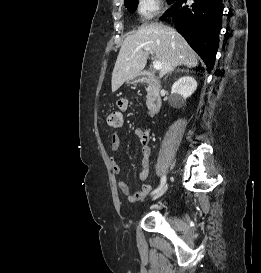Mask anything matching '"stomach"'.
I'll list each match as a JSON object with an SVG mask.
<instances>
[{"mask_svg":"<svg viewBox=\"0 0 261 273\" xmlns=\"http://www.w3.org/2000/svg\"><path fill=\"white\" fill-rule=\"evenodd\" d=\"M139 81H141L140 77H136V78H134L132 80H128V82H130V83H136V82H139Z\"/></svg>","mask_w":261,"mask_h":273,"instance_id":"1","label":"stomach"}]
</instances>
